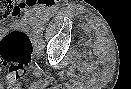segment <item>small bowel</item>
I'll return each mask as SVG.
<instances>
[{"instance_id": "small-bowel-1", "label": "small bowel", "mask_w": 131, "mask_h": 89, "mask_svg": "<svg viewBox=\"0 0 131 89\" xmlns=\"http://www.w3.org/2000/svg\"><path fill=\"white\" fill-rule=\"evenodd\" d=\"M34 14H35V15H40V16H45V13L42 12V11H40V10H38V9H36V10L34 11Z\"/></svg>"}]
</instances>
